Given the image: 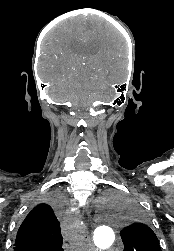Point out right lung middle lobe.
<instances>
[{"mask_svg":"<svg viewBox=\"0 0 174 251\" xmlns=\"http://www.w3.org/2000/svg\"><path fill=\"white\" fill-rule=\"evenodd\" d=\"M44 203H49L56 207L57 209H60L61 206V196L59 194H49L45 197Z\"/></svg>","mask_w":174,"mask_h":251,"instance_id":"dd1d6c3e","label":"right lung middle lobe"}]
</instances>
